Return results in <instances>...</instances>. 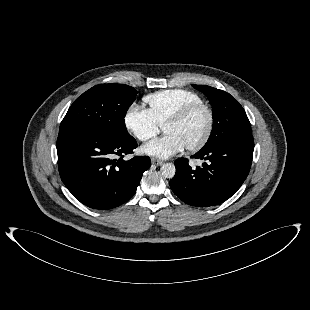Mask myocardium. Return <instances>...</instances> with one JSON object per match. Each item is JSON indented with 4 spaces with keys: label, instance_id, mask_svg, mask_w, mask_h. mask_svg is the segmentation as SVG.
Listing matches in <instances>:
<instances>
[{
    "label": "myocardium",
    "instance_id": "obj_1",
    "mask_svg": "<svg viewBox=\"0 0 310 310\" xmlns=\"http://www.w3.org/2000/svg\"><path fill=\"white\" fill-rule=\"evenodd\" d=\"M199 110H204L206 112L208 122H207L205 133L201 137V139L197 141L196 143L185 147L186 150L191 151V152L198 151L202 147H204L209 141L213 133L214 124H215V116H214L212 107L204 102H198V103L188 105L184 107L183 109H181L173 117L168 119L164 124V126L169 125V124H179L187 120L191 115H193Z\"/></svg>",
    "mask_w": 310,
    "mask_h": 310
}]
</instances>
